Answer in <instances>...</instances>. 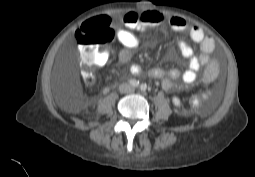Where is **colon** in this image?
Returning <instances> with one entry per match:
<instances>
[{"label":"colon","mask_w":255,"mask_h":177,"mask_svg":"<svg viewBox=\"0 0 255 177\" xmlns=\"http://www.w3.org/2000/svg\"><path fill=\"white\" fill-rule=\"evenodd\" d=\"M75 37L79 46L82 65L87 70L83 72V80L86 83H92L93 74L89 70L97 66L96 53L98 50L112 43L114 32L109 26L108 19L99 17L86 21L81 26V31L76 32ZM210 73L211 70L207 69L206 77Z\"/></svg>","instance_id":"5ec220e1"}]
</instances>
